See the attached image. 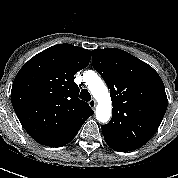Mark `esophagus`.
I'll return each instance as SVG.
<instances>
[{"label":"esophagus","instance_id":"34e87169","mask_svg":"<svg viewBox=\"0 0 178 178\" xmlns=\"http://www.w3.org/2000/svg\"><path fill=\"white\" fill-rule=\"evenodd\" d=\"M89 106H90L92 109H94V108L96 107V100H95V99H91V100L89 101Z\"/></svg>","mask_w":178,"mask_h":178}]
</instances>
